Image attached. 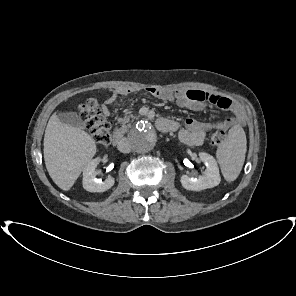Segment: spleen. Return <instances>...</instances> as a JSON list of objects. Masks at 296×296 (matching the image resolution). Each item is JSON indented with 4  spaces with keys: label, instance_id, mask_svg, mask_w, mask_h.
<instances>
[{
    "label": "spleen",
    "instance_id": "3e777b00",
    "mask_svg": "<svg viewBox=\"0 0 296 296\" xmlns=\"http://www.w3.org/2000/svg\"><path fill=\"white\" fill-rule=\"evenodd\" d=\"M246 134L239 125L233 126L225 142L216 151V158L226 181H234L240 174L247 151Z\"/></svg>",
    "mask_w": 296,
    "mask_h": 296
}]
</instances>
